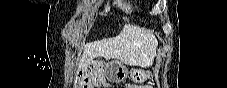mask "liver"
I'll use <instances>...</instances> for the list:
<instances>
[{
    "mask_svg": "<svg viewBox=\"0 0 227 88\" xmlns=\"http://www.w3.org/2000/svg\"><path fill=\"white\" fill-rule=\"evenodd\" d=\"M155 36L137 26L125 25L119 35L83 44V55L78 67L86 68L97 57L118 59L130 66L146 65L156 52Z\"/></svg>",
    "mask_w": 227,
    "mask_h": 88,
    "instance_id": "1",
    "label": "liver"
}]
</instances>
